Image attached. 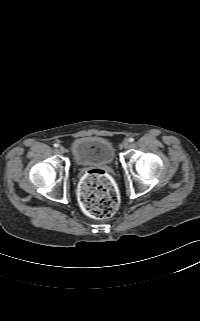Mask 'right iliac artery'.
<instances>
[{
    "instance_id": "82829eb1",
    "label": "right iliac artery",
    "mask_w": 200,
    "mask_h": 321,
    "mask_svg": "<svg viewBox=\"0 0 200 321\" xmlns=\"http://www.w3.org/2000/svg\"><path fill=\"white\" fill-rule=\"evenodd\" d=\"M58 146H59V144H57V143L54 144V147H55V148H57Z\"/></svg>"
}]
</instances>
